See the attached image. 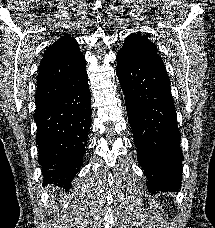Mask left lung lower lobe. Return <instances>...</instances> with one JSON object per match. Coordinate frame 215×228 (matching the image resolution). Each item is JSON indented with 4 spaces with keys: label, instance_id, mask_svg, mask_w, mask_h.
I'll list each match as a JSON object with an SVG mask.
<instances>
[{
    "label": "left lung lower lobe",
    "instance_id": "0a47b994",
    "mask_svg": "<svg viewBox=\"0 0 215 228\" xmlns=\"http://www.w3.org/2000/svg\"><path fill=\"white\" fill-rule=\"evenodd\" d=\"M116 73L125 94L137 160L149 192L179 191L182 150L170 80L160 57L116 56Z\"/></svg>",
    "mask_w": 215,
    "mask_h": 228
}]
</instances>
